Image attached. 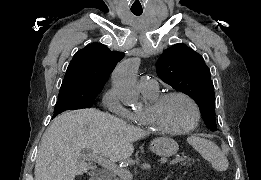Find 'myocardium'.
Returning a JSON list of instances; mask_svg holds the SVG:
<instances>
[{
	"instance_id": "obj_1",
	"label": "myocardium",
	"mask_w": 261,
	"mask_h": 180,
	"mask_svg": "<svg viewBox=\"0 0 261 180\" xmlns=\"http://www.w3.org/2000/svg\"><path fill=\"white\" fill-rule=\"evenodd\" d=\"M171 97H181L185 100H187L190 105L192 106L194 110V119L191 123V125L184 131L179 132V133H173V134H159L158 131L149 123L145 122L142 120L138 115L136 116V123L138 127L145 133V135L149 138L155 137V136H161L164 138H169V139H182L188 136L190 133H192L197 126L200 123L201 120V109L198 104V102L188 93L183 92V91H168L165 93H160L154 96L151 99H147L148 102V110H154L157 107L161 106L167 99Z\"/></svg>"
}]
</instances>
